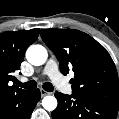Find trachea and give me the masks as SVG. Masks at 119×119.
<instances>
[{
	"instance_id": "1",
	"label": "trachea",
	"mask_w": 119,
	"mask_h": 119,
	"mask_svg": "<svg viewBox=\"0 0 119 119\" xmlns=\"http://www.w3.org/2000/svg\"><path fill=\"white\" fill-rule=\"evenodd\" d=\"M15 83L18 86H20V87H22L24 89H27V90H33V89H35L37 87V83L34 80L28 81L26 83H22V82L16 80ZM43 89L45 91H48V92H52L54 90L53 85L50 82H45L43 84Z\"/></svg>"
}]
</instances>
